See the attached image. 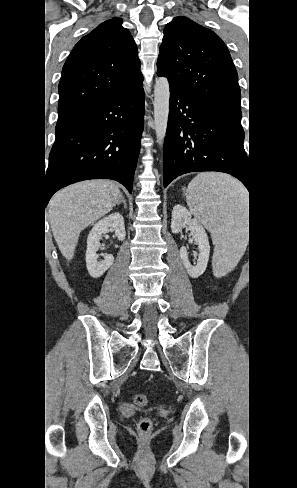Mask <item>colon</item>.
<instances>
[{
  "label": "colon",
  "instance_id": "5ec220e1",
  "mask_svg": "<svg viewBox=\"0 0 297 488\" xmlns=\"http://www.w3.org/2000/svg\"><path fill=\"white\" fill-rule=\"evenodd\" d=\"M133 401L137 406H145L148 403V398L143 394H135ZM152 420L150 418H142L138 424V430L142 434H148L152 429Z\"/></svg>",
  "mask_w": 297,
  "mask_h": 488
}]
</instances>
